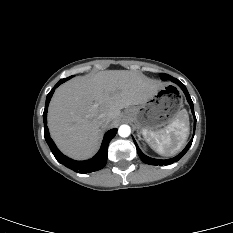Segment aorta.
Returning <instances> with one entry per match:
<instances>
[{"label": "aorta", "mask_w": 233, "mask_h": 233, "mask_svg": "<svg viewBox=\"0 0 233 233\" xmlns=\"http://www.w3.org/2000/svg\"><path fill=\"white\" fill-rule=\"evenodd\" d=\"M131 133V128L128 125H121L118 129V134L121 137H128Z\"/></svg>", "instance_id": "1"}]
</instances>
